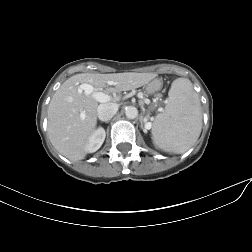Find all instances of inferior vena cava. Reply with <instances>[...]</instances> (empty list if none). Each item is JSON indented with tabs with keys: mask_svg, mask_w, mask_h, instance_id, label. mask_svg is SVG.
<instances>
[{
	"mask_svg": "<svg viewBox=\"0 0 252 252\" xmlns=\"http://www.w3.org/2000/svg\"><path fill=\"white\" fill-rule=\"evenodd\" d=\"M118 111L115 103L100 104L97 108V115L101 121H109Z\"/></svg>",
	"mask_w": 252,
	"mask_h": 252,
	"instance_id": "602c4592",
	"label": "inferior vena cava"
}]
</instances>
